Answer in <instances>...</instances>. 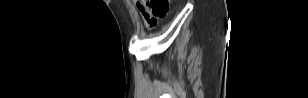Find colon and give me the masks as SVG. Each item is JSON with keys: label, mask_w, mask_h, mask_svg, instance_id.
<instances>
[{"label": "colon", "mask_w": 308, "mask_h": 98, "mask_svg": "<svg viewBox=\"0 0 308 98\" xmlns=\"http://www.w3.org/2000/svg\"><path fill=\"white\" fill-rule=\"evenodd\" d=\"M148 26L153 28L169 10L168 0H135Z\"/></svg>", "instance_id": "5ec220e1"}]
</instances>
